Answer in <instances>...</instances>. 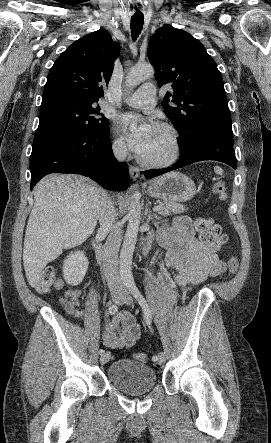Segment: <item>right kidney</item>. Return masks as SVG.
<instances>
[{
	"mask_svg": "<svg viewBox=\"0 0 271 443\" xmlns=\"http://www.w3.org/2000/svg\"><path fill=\"white\" fill-rule=\"evenodd\" d=\"M88 259L83 251H70L64 259L63 273L66 283L69 285H79L88 267Z\"/></svg>",
	"mask_w": 271,
	"mask_h": 443,
	"instance_id": "ca27d5eb",
	"label": "right kidney"
}]
</instances>
